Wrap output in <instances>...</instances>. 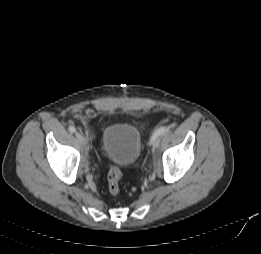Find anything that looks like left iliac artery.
Returning <instances> with one entry per match:
<instances>
[{
  "label": "left iliac artery",
  "instance_id": "1",
  "mask_svg": "<svg viewBox=\"0 0 261 254\" xmlns=\"http://www.w3.org/2000/svg\"><path fill=\"white\" fill-rule=\"evenodd\" d=\"M168 130H169V127H166V126L158 128V129L153 133V135H152V137H151V140H150V144H152V142L154 141V139H155L156 137L165 134Z\"/></svg>",
  "mask_w": 261,
  "mask_h": 254
}]
</instances>
